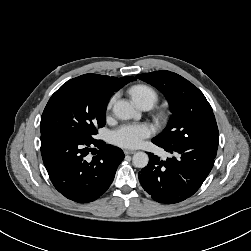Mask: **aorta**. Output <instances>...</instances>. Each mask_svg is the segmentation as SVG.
I'll return each instance as SVG.
<instances>
[{
  "label": "aorta",
  "mask_w": 251,
  "mask_h": 251,
  "mask_svg": "<svg viewBox=\"0 0 251 251\" xmlns=\"http://www.w3.org/2000/svg\"><path fill=\"white\" fill-rule=\"evenodd\" d=\"M114 114L121 119H131L135 115L134 107L125 100L117 101L113 106ZM132 162L137 168H144L148 165L149 157L144 152H137L133 155Z\"/></svg>",
  "instance_id": "1"
}]
</instances>
